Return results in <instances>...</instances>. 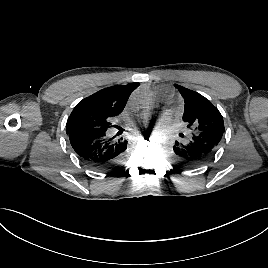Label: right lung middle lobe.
Wrapping results in <instances>:
<instances>
[{
	"mask_svg": "<svg viewBox=\"0 0 268 268\" xmlns=\"http://www.w3.org/2000/svg\"><path fill=\"white\" fill-rule=\"evenodd\" d=\"M118 114L94 108H74L70 114L66 133H103L111 127V120Z\"/></svg>",
	"mask_w": 268,
	"mask_h": 268,
	"instance_id": "dd1d6c3e",
	"label": "right lung middle lobe"
}]
</instances>
